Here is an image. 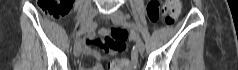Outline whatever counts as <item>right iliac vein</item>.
Returning a JSON list of instances; mask_svg holds the SVG:
<instances>
[{
	"label": "right iliac vein",
	"instance_id": "right-iliac-vein-1",
	"mask_svg": "<svg viewBox=\"0 0 238 70\" xmlns=\"http://www.w3.org/2000/svg\"><path fill=\"white\" fill-rule=\"evenodd\" d=\"M97 15V9L96 8H91L87 14L85 15V17L83 18L82 22H81V29H85L90 22L94 19V17ZM81 41L80 39H78L75 42L74 45V54L75 56H79L81 54Z\"/></svg>",
	"mask_w": 238,
	"mask_h": 70
}]
</instances>
